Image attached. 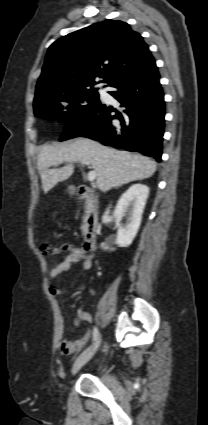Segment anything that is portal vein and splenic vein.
Instances as JSON below:
<instances>
[{"instance_id":"obj_1","label":"portal vein and splenic vein","mask_w":208,"mask_h":425,"mask_svg":"<svg viewBox=\"0 0 208 425\" xmlns=\"http://www.w3.org/2000/svg\"><path fill=\"white\" fill-rule=\"evenodd\" d=\"M80 162H81L83 165H87V166H89V165H90V163L85 162V161H80ZM96 176H97L96 171H95V170H91V171H89L87 178H88V180H89L90 182H93V181L96 179Z\"/></svg>"}]
</instances>
